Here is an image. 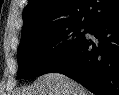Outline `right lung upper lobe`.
<instances>
[{
    "instance_id": "right-lung-upper-lobe-1",
    "label": "right lung upper lobe",
    "mask_w": 119,
    "mask_h": 95,
    "mask_svg": "<svg viewBox=\"0 0 119 95\" xmlns=\"http://www.w3.org/2000/svg\"><path fill=\"white\" fill-rule=\"evenodd\" d=\"M119 14V0H29L23 11L21 37L48 24L76 23L90 27Z\"/></svg>"
}]
</instances>
